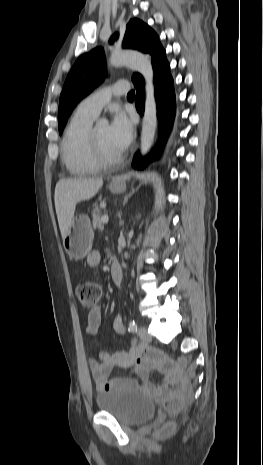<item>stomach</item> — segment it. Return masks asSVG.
<instances>
[{
    "instance_id": "stomach-1",
    "label": "stomach",
    "mask_w": 263,
    "mask_h": 465,
    "mask_svg": "<svg viewBox=\"0 0 263 465\" xmlns=\"http://www.w3.org/2000/svg\"><path fill=\"white\" fill-rule=\"evenodd\" d=\"M109 189L114 194L125 191L126 184L123 177L113 178ZM94 232L88 216L82 214L72 219L68 231L63 238L66 253L73 259H83L91 250Z\"/></svg>"
}]
</instances>
